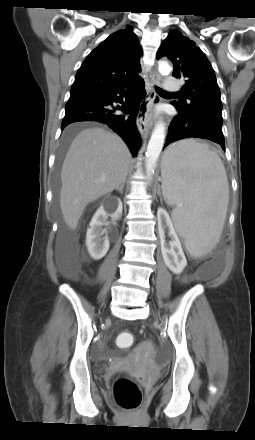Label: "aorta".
I'll list each match as a JSON object with an SVG mask.
<instances>
[{"instance_id":"aorta-1","label":"aorta","mask_w":255,"mask_h":440,"mask_svg":"<svg viewBox=\"0 0 255 440\" xmlns=\"http://www.w3.org/2000/svg\"><path fill=\"white\" fill-rule=\"evenodd\" d=\"M158 70L162 75H168L171 72V67L167 62L160 61ZM164 141H165V124L159 122L156 124L154 128L147 146L146 172L149 182L152 181V176L154 174V170L157 165L159 155L162 151Z\"/></svg>"}]
</instances>
